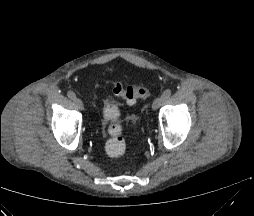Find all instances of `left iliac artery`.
Wrapping results in <instances>:
<instances>
[{"label": "left iliac artery", "instance_id": "1", "mask_svg": "<svg viewBox=\"0 0 254 216\" xmlns=\"http://www.w3.org/2000/svg\"><path fill=\"white\" fill-rule=\"evenodd\" d=\"M171 90L170 89H167L164 91V93L162 94V97L166 100L168 99L170 96H171Z\"/></svg>", "mask_w": 254, "mask_h": 216}]
</instances>
